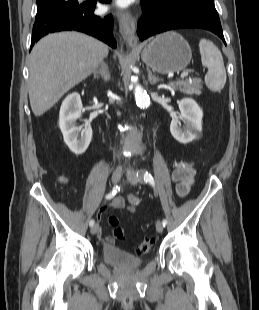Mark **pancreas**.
I'll return each instance as SVG.
<instances>
[{
  "instance_id": "1",
  "label": "pancreas",
  "mask_w": 259,
  "mask_h": 310,
  "mask_svg": "<svg viewBox=\"0 0 259 310\" xmlns=\"http://www.w3.org/2000/svg\"><path fill=\"white\" fill-rule=\"evenodd\" d=\"M202 79L194 78L192 81L184 80L171 85L172 89L180 90L182 93L188 95H200L202 89Z\"/></svg>"
}]
</instances>
